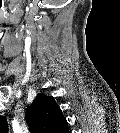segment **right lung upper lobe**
Returning <instances> with one entry per match:
<instances>
[{"instance_id":"1","label":"right lung upper lobe","mask_w":120,"mask_h":133,"mask_svg":"<svg viewBox=\"0 0 120 133\" xmlns=\"http://www.w3.org/2000/svg\"><path fill=\"white\" fill-rule=\"evenodd\" d=\"M26 119L33 129L47 131L67 130V121L53 97L38 94L28 108Z\"/></svg>"}]
</instances>
